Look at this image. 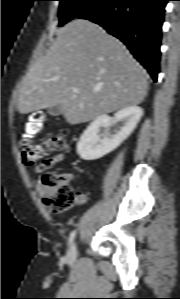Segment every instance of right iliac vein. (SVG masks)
Listing matches in <instances>:
<instances>
[{"instance_id": "1", "label": "right iliac vein", "mask_w": 180, "mask_h": 299, "mask_svg": "<svg viewBox=\"0 0 180 299\" xmlns=\"http://www.w3.org/2000/svg\"><path fill=\"white\" fill-rule=\"evenodd\" d=\"M77 254H78V250H77V246L76 244H72L68 253H67V261L68 262H74L76 257H77Z\"/></svg>"}]
</instances>
